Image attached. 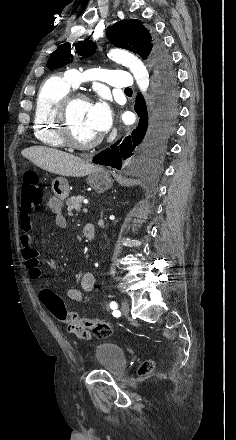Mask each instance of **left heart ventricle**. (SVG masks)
<instances>
[{
  "instance_id": "b2bd125f",
  "label": "left heart ventricle",
  "mask_w": 236,
  "mask_h": 440,
  "mask_svg": "<svg viewBox=\"0 0 236 440\" xmlns=\"http://www.w3.org/2000/svg\"><path fill=\"white\" fill-rule=\"evenodd\" d=\"M90 107V102L77 101L69 113L71 132L79 142L90 141L99 135L90 119Z\"/></svg>"
}]
</instances>
